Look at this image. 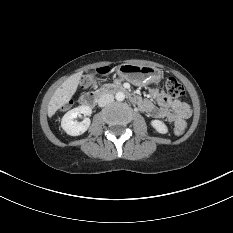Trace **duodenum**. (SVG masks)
I'll return each mask as SVG.
<instances>
[{"label": "duodenum", "instance_id": "1", "mask_svg": "<svg viewBox=\"0 0 233 233\" xmlns=\"http://www.w3.org/2000/svg\"><path fill=\"white\" fill-rule=\"evenodd\" d=\"M115 92H126V90L123 87L116 85V84L109 85L100 92H89V93L82 95L80 98V103L83 106H93L97 103V101L99 100L101 96L108 94V93H115ZM130 99L136 104L139 102V97L135 95H130Z\"/></svg>", "mask_w": 233, "mask_h": 233}]
</instances>
